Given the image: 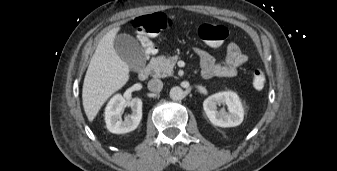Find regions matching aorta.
Returning <instances> with one entry per match:
<instances>
[{"mask_svg": "<svg viewBox=\"0 0 337 171\" xmlns=\"http://www.w3.org/2000/svg\"><path fill=\"white\" fill-rule=\"evenodd\" d=\"M169 95L172 100L179 101L184 98V91L182 88L175 86L171 88Z\"/></svg>", "mask_w": 337, "mask_h": 171, "instance_id": "1", "label": "aorta"}]
</instances>
